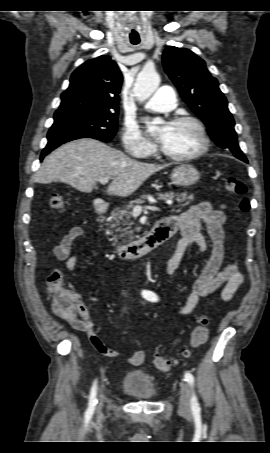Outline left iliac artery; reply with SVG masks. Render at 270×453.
<instances>
[{
    "mask_svg": "<svg viewBox=\"0 0 270 453\" xmlns=\"http://www.w3.org/2000/svg\"><path fill=\"white\" fill-rule=\"evenodd\" d=\"M142 295L144 298H146L149 301H152V302L158 301L157 295L151 291H143ZM184 377H185V381H187L188 384L191 386V388H193V385H194L193 375L190 372H186ZM191 406H192L193 411H200L199 403H198L197 397L195 396L194 393L192 394V398H191Z\"/></svg>",
    "mask_w": 270,
    "mask_h": 453,
    "instance_id": "1",
    "label": "left iliac artery"
}]
</instances>
